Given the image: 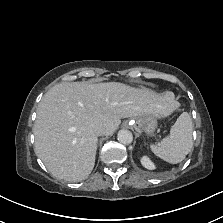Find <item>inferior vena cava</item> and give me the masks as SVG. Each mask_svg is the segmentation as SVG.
I'll use <instances>...</instances> for the list:
<instances>
[{"label":"inferior vena cava","mask_w":223,"mask_h":223,"mask_svg":"<svg viewBox=\"0 0 223 223\" xmlns=\"http://www.w3.org/2000/svg\"><path fill=\"white\" fill-rule=\"evenodd\" d=\"M94 132L97 136L105 135V127L103 125H96L94 126Z\"/></svg>","instance_id":"1"}]
</instances>
